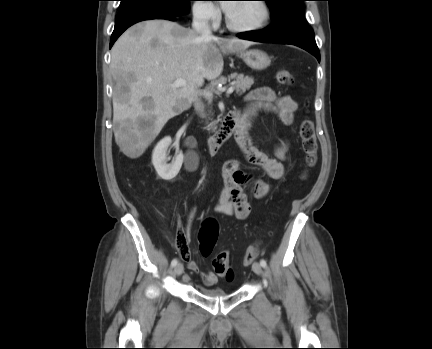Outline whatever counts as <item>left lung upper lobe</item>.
<instances>
[{"label": "left lung upper lobe", "instance_id": "1", "mask_svg": "<svg viewBox=\"0 0 432 349\" xmlns=\"http://www.w3.org/2000/svg\"><path fill=\"white\" fill-rule=\"evenodd\" d=\"M268 3L274 24H304L308 25L304 17L303 1L305 0H264ZM254 32V31H249Z\"/></svg>", "mask_w": 432, "mask_h": 349}]
</instances>
